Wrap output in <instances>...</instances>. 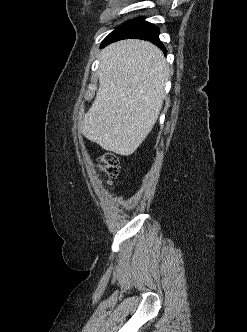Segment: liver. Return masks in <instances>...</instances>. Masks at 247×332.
Masks as SVG:
<instances>
[{"label":"liver","mask_w":247,"mask_h":332,"mask_svg":"<svg viewBox=\"0 0 247 332\" xmlns=\"http://www.w3.org/2000/svg\"><path fill=\"white\" fill-rule=\"evenodd\" d=\"M99 89L78 131L101 148L133 154L155 125L169 68L162 51L147 41L124 40L100 55Z\"/></svg>","instance_id":"obj_1"}]
</instances>
